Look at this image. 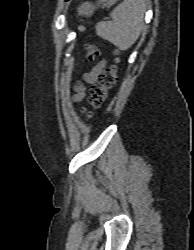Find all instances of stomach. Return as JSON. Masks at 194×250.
<instances>
[{
	"label": "stomach",
	"instance_id": "obj_1",
	"mask_svg": "<svg viewBox=\"0 0 194 250\" xmlns=\"http://www.w3.org/2000/svg\"><path fill=\"white\" fill-rule=\"evenodd\" d=\"M117 0H99L96 5L93 4H82L80 7H78V14L79 15H89L94 12V10L97 7H110L113 5Z\"/></svg>",
	"mask_w": 194,
	"mask_h": 250
}]
</instances>
